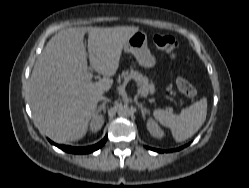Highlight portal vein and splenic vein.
I'll use <instances>...</instances> for the list:
<instances>
[{"label":"portal vein and splenic vein","mask_w":249,"mask_h":188,"mask_svg":"<svg viewBox=\"0 0 249 188\" xmlns=\"http://www.w3.org/2000/svg\"><path fill=\"white\" fill-rule=\"evenodd\" d=\"M90 77H92V74L90 73ZM170 111H172V108L169 109Z\"/></svg>","instance_id":"18ae733b"}]
</instances>
